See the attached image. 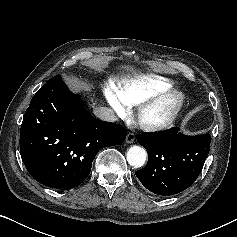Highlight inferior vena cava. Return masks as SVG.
<instances>
[{"label": "inferior vena cava", "instance_id": "1", "mask_svg": "<svg viewBox=\"0 0 237 237\" xmlns=\"http://www.w3.org/2000/svg\"><path fill=\"white\" fill-rule=\"evenodd\" d=\"M93 112L98 118L103 121L115 122L117 120V116L111 108L100 106L95 108Z\"/></svg>", "mask_w": 237, "mask_h": 237}]
</instances>
